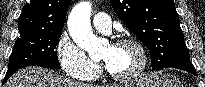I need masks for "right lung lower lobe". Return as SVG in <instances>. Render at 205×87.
<instances>
[{"label": "right lung lower lobe", "instance_id": "right-lung-lower-lobe-1", "mask_svg": "<svg viewBox=\"0 0 205 87\" xmlns=\"http://www.w3.org/2000/svg\"><path fill=\"white\" fill-rule=\"evenodd\" d=\"M23 67H26V65H16V66L9 67L7 72H6L5 78L3 80V84L8 80V78L11 75H13V73H15L17 70H19V69H21Z\"/></svg>", "mask_w": 205, "mask_h": 87}]
</instances>
